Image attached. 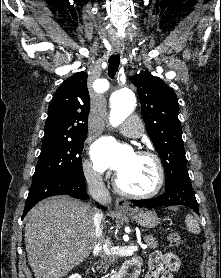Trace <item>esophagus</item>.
<instances>
[{"label":"esophagus","mask_w":221,"mask_h":278,"mask_svg":"<svg viewBox=\"0 0 221 278\" xmlns=\"http://www.w3.org/2000/svg\"><path fill=\"white\" fill-rule=\"evenodd\" d=\"M114 53H118L119 49H114ZM115 208L119 211H129L130 206L124 198H116L115 200Z\"/></svg>","instance_id":"obj_1"}]
</instances>
